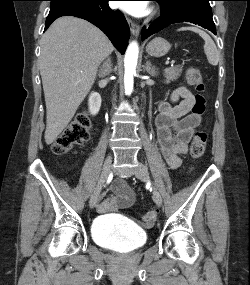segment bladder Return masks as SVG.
<instances>
[{
  "label": "bladder",
  "mask_w": 250,
  "mask_h": 285,
  "mask_svg": "<svg viewBox=\"0 0 250 285\" xmlns=\"http://www.w3.org/2000/svg\"><path fill=\"white\" fill-rule=\"evenodd\" d=\"M93 240L100 246L119 253L141 248L147 241L144 229L124 222H116L109 216L97 218L91 228Z\"/></svg>",
  "instance_id": "obj_1"
}]
</instances>
